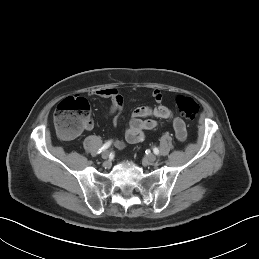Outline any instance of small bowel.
Returning <instances> with one entry per match:
<instances>
[{"mask_svg": "<svg viewBox=\"0 0 259 259\" xmlns=\"http://www.w3.org/2000/svg\"><path fill=\"white\" fill-rule=\"evenodd\" d=\"M91 95L110 99L109 115L116 114L123 109L124 98L116 88L98 89L92 92ZM152 97L157 103L155 106H141L133 110L125 132V140L131 144L138 143L143 140L146 131L155 129L159 125V122L154 118H172L176 138L178 141L184 142L187 138V130L184 121L179 117H174L173 111L161 103L163 96L159 90H154L152 92ZM92 127L93 122L91 121L86 129L90 130ZM113 144L118 149H122L125 145L122 140L118 139L114 140Z\"/></svg>", "mask_w": 259, "mask_h": 259, "instance_id": "small-bowel-1", "label": "small bowel"}]
</instances>
